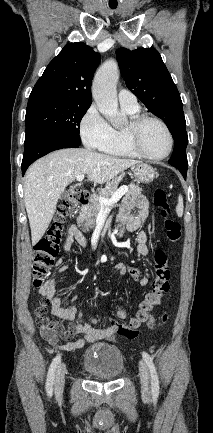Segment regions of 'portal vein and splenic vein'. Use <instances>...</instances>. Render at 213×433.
<instances>
[{"instance_id":"1","label":"portal vein and splenic vein","mask_w":213,"mask_h":433,"mask_svg":"<svg viewBox=\"0 0 213 433\" xmlns=\"http://www.w3.org/2000/svg\"><path fill=\"white\" fill-rule=\"evenodd\" d=\"M76 179L78 182L83 181L84 174L78 175L76 177ZM127 192H128V187L122 186L113 193L111 198L108 199V198H104V197H99L98 201H99L101 207L108 208V207L112 206L113 204H115L116 202H118L120 200V198Z\"/></svg>"}]
</instances>
